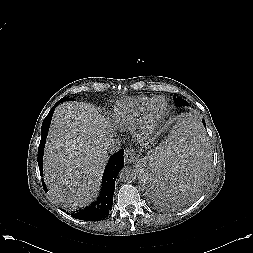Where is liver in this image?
I'll list each match as a JSON object with an SVG mask.
<instances>
[{
	"label": "liver",
	"mask_w": 253,
	"mask_h": 253,
	"mask_svg": "<svg viewBox=\"0 0 253 253\" xmlns=\"http://www.w3.org/2000/svg\"><path fill=\"white\" fill-rule=\"evenodd\" d=\"M113 131L98 110L64 102L54 111L44 152L49 194L63 207H84L99 193Z\"/></svg>",
	"instance_id": "6515ba94"
}]
</instances>
